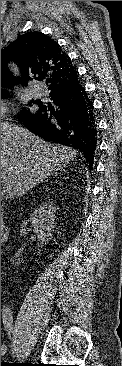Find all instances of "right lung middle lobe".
Masks as SVG:
<instances>
[{
  "mask_svg": "<svg viewBox=\"0 0 122 366\" xmlns=\"http://www.w3.org/2000/svg\"><path fill=\"white\" fill-rule=\"evenodd\" d=\"M37 103V102H36ZM32 113H30V112H28V111H24L23 112V115L25 116V115H31Z\"/></svg>",
  "mask_w": 122,
  "mask_h": 366,
  "instance_id": "1",
  "label": "right lung middle lobe"
}]
</instances>
